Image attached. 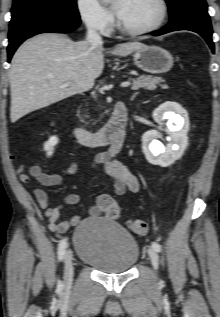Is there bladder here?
<instances>
[{
	"label": "bladder",
	"instance_id": "31cf9c89",
	"mask_svg": "<svg viewBox=\"0 0 220 317\" xmlns=\"http://www.w3.org/2000/svg\"><path fill=\"white\" fill-rule=\"evenodd\" d=\"M72 239L78 260L101 272H128L139 259L137 240L111 219L91 217L81 221Z\"/></svg>",
	"mask_w": 220,
	"mask_h": 317
}]
</instances>
